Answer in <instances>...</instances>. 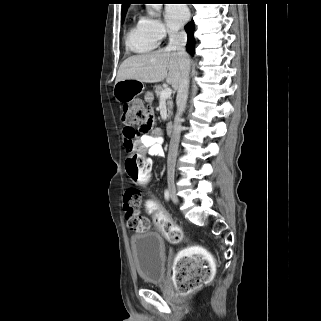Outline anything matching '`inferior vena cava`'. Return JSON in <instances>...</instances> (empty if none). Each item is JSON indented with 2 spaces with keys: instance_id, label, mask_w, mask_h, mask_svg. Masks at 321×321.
<instances>
[{
  "instance_id": "obj_1",
  "label": "inferior vena cava",
  "mask_w": 321,
  "mask_h": 321,
  "mask_svg": "<svg viewBox=\"0 0 321 321\" xmlns=\"http://www.w3.org/2000/svg\"><path fill=\"white\" fill-rule=\"evenodd\" d=\"M187 42V34L184 31L175 32L169 31V45L168 49L175 50L181 58V79L177 86V114L174 119L173 132L171 135L169 152L167 158V171L169 176L174 175L176 158L178 154V146L181 133V116L185 110L187 98H188V89H189V70H190V61L188 54L185 50V45Z\"/></svg>"
}]
</instances>
